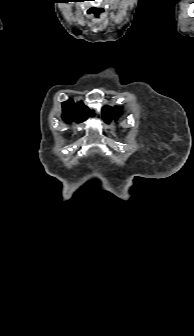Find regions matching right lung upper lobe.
I'll use <instances>...</instances> for the list:
<instances>
[{
	"instance_id": "right-lung-upper-lobe-1",
	"label": "right lung upper lobe",
	"mask_w": 194,
	"mask_h": 336,
	"mask_svg": "<svg viewBox=\"0 0 194 336\" xmlns=\"http://www.w3.org/2000/svg\"><path fill=\"white\" fill-rule=\"evenodd\" d=\"M89 109L83 103L74 104L72 100L63 103V117L68 121L82 122L89 117Z\"/></svg>"
}]
</instances>
